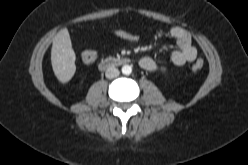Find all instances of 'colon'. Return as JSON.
I'll use <instances>...</instances> for the list:
<instances>
[{"label": "colon", "mask_w": 248, "mask_h": 165, "mask_svg": "<svg viewBox=\"0 0 248 165\" xmlns=\"http://www.w3.org/2000/svg\"><path fill=\"white\" fill-rule=\"evenodd\" d=\"M97 58V53L94 50H85L82 53V59L85 63L90 64L93 63ZM204 62L201 59H198L194 62L192 69L194 71H200L203 68Z\"/></svg>", "instance_id": "5ec220e1"}]
</instances>
